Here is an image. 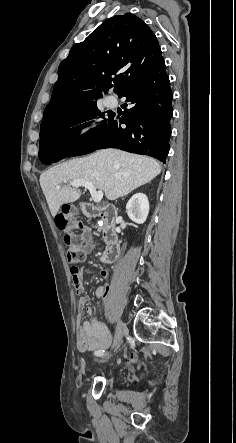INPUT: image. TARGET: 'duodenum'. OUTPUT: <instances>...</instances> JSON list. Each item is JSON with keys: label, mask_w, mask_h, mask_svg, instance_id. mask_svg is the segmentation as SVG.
<instances>
[{"label": "duodenum", "mask_w": 236, "mask_h": 443, "mask_svg": "<svg viewBox=\"0 0 236 443\" xmlns=\"http://www.w3.org/2000/svg\"><path fill=\"white\" fill-rule=\"evenodd\" d=\"M82 212L87 218L103 219V238L106 242V248L102 254V259L107 264L114 263L119 255V235L115 222L119 215V209L113 205L96 206L91 202H84Z\"/></svg>", "instance_id": "410a0bca"}]
</instances>
